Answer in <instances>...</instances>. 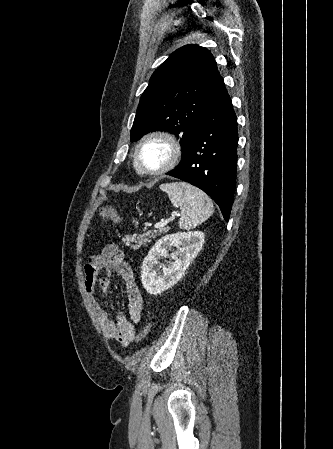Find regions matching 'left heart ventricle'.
Wrapping results in <instances>:
<instances>
[{
    "label": "left heart ventricle",
    "mask_w": 333,
    "mask_h": 449,
    "mask_svg": "<svg viewBox=\"0 0 333 449\" xmlns=\"http://www.w3.org/2000/svg\"><path fill=\"white\" fill-rule=\"evenodd\" d=\"M168 158V147L161 141H151L146 143L140 152V159L143 165L149 169L161 167Z\"/></svg>",
    "instance_id": "1"
}]
</instances>
